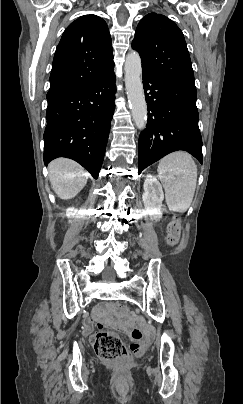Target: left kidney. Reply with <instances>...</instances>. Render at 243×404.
Here are the masks:
<instances>
[{"label":"left kidney","instance_id":"1","mask_svg":"<svg viewBox=\"0 0 243 404\" xmlns=\"http://www.w3.org/2000/svg\"><path fill=\"white\" fill-rule=\"evenodd\" d=\"M144 194L142 196L144 212L151 216V220H160L165 208L162 204L164 194L160 182L154 176H147L144 182Z\"/></svg>","mask_w":243,"mask_h":404}]
</instances>
